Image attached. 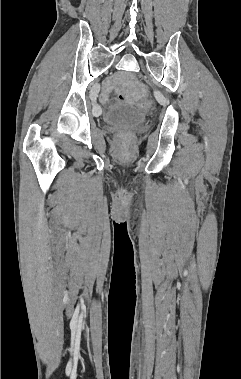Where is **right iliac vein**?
Returning a JSON list of instances; mask_svg holds the SVG:
<instances>
[{
  "label": "right iliac vein",
  "instance_id": "1",
  "mask_svg": "<svg viewBox=\"0 0 241 379\" xmlns=\"http://www.w3.org/2000/svg\"><path fill=\"white\" fill-rule=\"evenodd\" d=\"M94 110H95V111H98V107H94Z\"/></svg>",
  "mask_w": 241,
  "mask_h": 379
}]
</instances>
